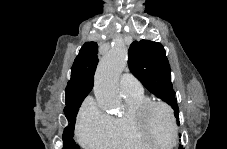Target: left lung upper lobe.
Instances as JSON below:
<instances>
[{
	"label": "left lung upper lobe",
	"instance_id": "obj_1",
	"mask_svg": "<svg viewBox=\"0 0 227 149\" xmlns=\"http://www.w3.org/2000/svg\"><path fill=\"white\" fill-rule=\"evenodd\" d=\"M128 64L132 74L151 93L171 105L179 119L170 65L162 44L150 40L134 41L129 48Z\"/></svg>",
	"mask_w": 227,
	"mask_h": 149
}]
</instances>
